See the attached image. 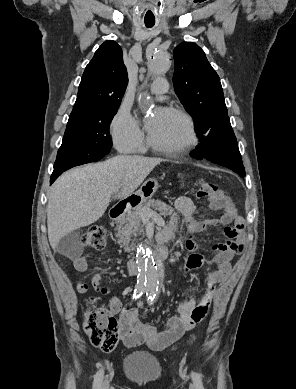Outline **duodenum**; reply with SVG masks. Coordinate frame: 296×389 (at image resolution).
<instances>
[{
  "mask_svg": "<svg viewBox=\"0 0 296 389\" xmlns=\"http://www.w3.org/2000/svg\"><path fill=\"white\" fill-rule=\"evenodd\" d=\"M136 204L137 200L130 198L122 201L121 203L113 207L110 210L109 214L111 221L114 223L118 222L123 217V215ZM167 241L168 240L164 238L159 239V247L156 251V258L159 261L164 260L168 256L169 251L166 246ZM128 272L131 276H135L138 274V264L136 261H130L128 263Z\"/></svg>",
  "mask_w": 296,
  "mask_h": 389,
  "instance_id": "1",
  "label": "duodenum"
}]
</instances>
